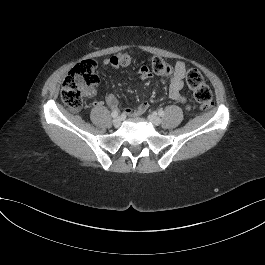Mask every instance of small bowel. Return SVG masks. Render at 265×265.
I'll list each match as a JSON object with an SVG mask.
<instances>
[{
  "label": "small bowel",
  "instance_id": "small-bowel-1",
  "mask_svg": "<svg viewBox=\"0 0 265 265\" xmlns=\"http://www.w3.org/2000/svg\"><path fill=\"white\" fill-rule=\"evenodd\" d=\"M104 65L110 66L112 68H118L119 66L114 64L112 59H106L104 61ZM187 71L186 64L182 61H178L174 65V71L172 76L169 80V89L168 94L169 97L177 102H180L184 105L186 110L190 109V105L187 103L186 98L182 96L181 92L185 86L184 83V77ZM138 75L142 80H147L152 77V73L147 65H142L138 70ZM85 95L87 97H94L97 94V89L93 86L90 88L85 89L84 91ZM119 101L116 95L112 93H107L104 96L103 104L110 107L115 108L117 107ZM149 107V104L147 102L140 103L136 108L134 109H126L125 114L132 116V117H138L142 115Z\"/></svg>",
  "mask_w": 265,
  "mask_h": 265
}]
</instances>
